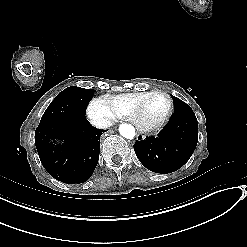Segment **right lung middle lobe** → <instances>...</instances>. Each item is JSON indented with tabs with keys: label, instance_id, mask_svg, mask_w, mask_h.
Instances as JSON below:
<instances>
[{
	"label": "right lung middle lobe",
	"instance_id": "right-lung-middle-lobe-1",
	"mask_svg": "<svg viewBox=\"0 0 247 247\" xmlns=\"http://www.w3.org/2000/svg\"><path fill=\"white\" fill-rule=\"evenodd\" d=\"M94 89L71 86L58 94L44 112L40 123L59 118H83Z\"/></svg>",
	"mask_w": 247,
	"mask_h": 247
}]
</instances>
